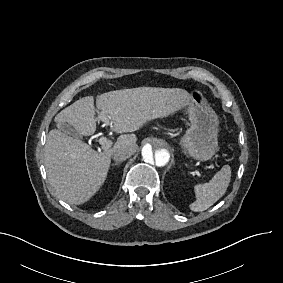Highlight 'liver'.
<instances>
[{
    "instance_id": "1",
    "label": "liver",
    "mask_w": 283,
    "mask_h": 283,
    "mask_svg": "<svg viewBox=\"0 0 283 283\" xmlns=\"http://www.w3.org/2000/svg\"><path fill=\"white\" fill-rule=\"evenodd\" d=\"M192 104L186 90L165 88H133L111 91L97 96L99 116L108 115L117 133H133L153 120L164 119ZM94 97L79 99L54 119L69 123L78 133L91 136L96 130ZM135 134L121 135L113 142L138 150ZM112 149L96 153L85 142L54 128L47 135L45 168L50 185L58 197L73 205L90 201L106 182L111 166Z\"/></svg>"
}]
</instances>
